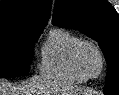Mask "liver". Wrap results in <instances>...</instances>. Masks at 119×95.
Here are the masks:
<instances>
[{
    "mask_svg": "<svg viewBox=\"0 0 119 95\" xmlns=\"http://www.w3.org/2000/svg\"><path fill=\"white\" fill-rule=\"evenodd\" d=\"M76 88L66 83L50 84L44 77H34L30 81L13 84L0 79V95H41L42 92L52 95H70Z\"/></svg>",
    "mask_w": 119,
    "mask_h": 95,
    "instance_id": "obj_1",
    "label": "liver"
}]
</instances>
